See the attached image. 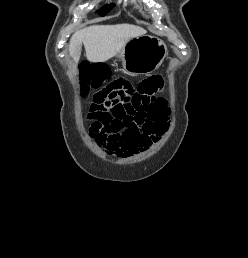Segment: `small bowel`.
<instances>
[{
	"label": "small bowel",
	"instance_id": "obj_1",
	"mask_svg": "<svg viewBox=\"0 0 248 258\" xmlns=\"http://www.w3.org/2000/svg\"><path fill=\"white\" fill-rule=\"evenodd\" d=\"M163 83L160 78L143 80L134 87L127 79L117 78L99 94L112 96L120 111L130 113V121L112 133L91 131L96 143L110 156L127 157L156 143L168 128L166 100L157 95Z\"/></svg>",
	"mask_w": 248,
	"mask_h": 258
}]
</instances>
